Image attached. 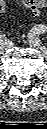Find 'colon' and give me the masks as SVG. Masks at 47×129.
<instances>
[{"mask_svg": "<svg viewBox=\"0 0 47 129\" xmlns=\"http://www.w3.org/2000/svg\"><path fill=\"white\" fill-rule=\"evenodd\" d=\"M23 3L28 7L32 13L37 16L40 11L46 6V0H23ZM4 3L1 4V9H5Z\"/></svg>", "mask_w": 47, "mask_h": 129, "instance_id": "1", "label": "colon"}]
</instances>
